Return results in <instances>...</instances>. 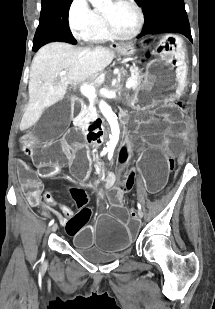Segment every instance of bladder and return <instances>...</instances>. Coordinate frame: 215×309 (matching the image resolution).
I'll list each match as a JSON object with an SVG mask.
<instances>
[{
  "instance_id": "1",
  "label": "bladder",
  "mask_w": 215,
  "mask_h": 309,
  "mask_svg": "<svg viewBox=\"0 0 215 309\" xmlns=\"http://www.w3.org/2000/svg\"><path fill=\"white\" fill-rule=\"evenodd\" d=\"M83 256L94 263H108L116 260L119 255L117 254H107V255H87L83 254Z\"/></svg>"
}]
</instances>
